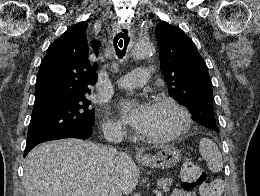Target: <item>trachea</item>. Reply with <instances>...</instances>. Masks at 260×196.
<instances>
[{
	"label": "trachea",
	"mask_w": 260,
	"mask_h": 196,
	"mask_svg": "<svg viewBox=\"0 0 260 196\" xmlns=\"http://www.w3.org/2000/svg\"><path fill=\"white\" fill-rule=\"evenodd\" d=\"M130 38L127 30H122V33H117L113 39V46L115 48L118 58H123L129 44Z\"/></svg>",
	"instance_id": "3493384b"
}]
</instances>
